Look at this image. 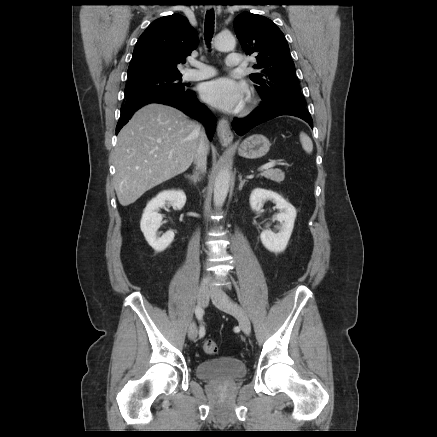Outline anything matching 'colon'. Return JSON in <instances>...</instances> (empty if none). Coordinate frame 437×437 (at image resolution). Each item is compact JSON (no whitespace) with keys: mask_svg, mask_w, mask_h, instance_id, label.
<instances>
[{"mask_svg":"<svg viewBox=\"0 0 437 437\" xmlns=\"http://www.w3.org/2000/svg\"><path fill=\"white\" fill-rule=\"evenodd\" d=\"M203 351L207 355H215L218 352V346L213 340H206L203 343Z\"/></svg>","mask_w":437,"mask_h":437,"instance_id":"obj_1","label":"colon"}]
</instances>
